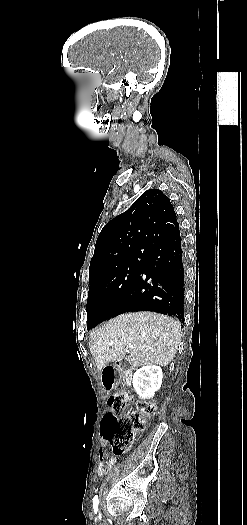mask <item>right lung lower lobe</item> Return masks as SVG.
Instances as JSON below:
<instances>
[{
    "label": "right lung lower lobe",
    "instance_id": "98d812e1",
    "mask_svg": "<svg viewBox=\"0 0 247 525\" xmlns=\"http://www.w3.org/2000/svg\"><path fill=\"white\" fill-rule=\"evenodd\" d=\"M180 230L153 247L114 316L133 311L167 313L183 320L184 268Z\"/></svg>",
    "mask_w": 247,
    "mask_h": 525
}]
</instances>
